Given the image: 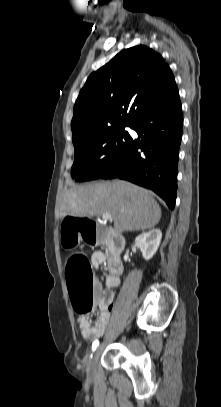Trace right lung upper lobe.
I'll use <instances>...</instances> for the list:
<instances>
[{"mask_svg": "<svg viewBox=\"0 0 221 407\" xmlns=\"http://www.w3.org/2000/svg\"><path fill=\"white\" fill-rule=\"evenodd\" d=\"M176 88L161 55L140 45L122 50L88 77L74 106L73 144L105 130L134 124Z\"/></svg>", "mask_w": 221, "mask_h": 407, "instance_id": "right-lung-upper-lobe-1", "label": "right lung upper lobe"}]
</instances>
